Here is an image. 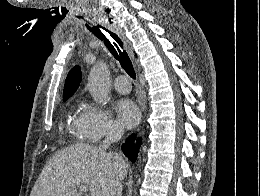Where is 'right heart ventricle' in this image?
Here are the masks:
<instances>
[{
	"instance_id": "e07e8e85",
	"label": "right heart ventricle",
	"mask_w": 260,
	"mask_h": 196,
	"mask_svg": "<svg viewBox=\"0 0 260 196\" xmlns=\"http://www.w3.org/2000/svg\"><path fill=\"white\" fill-rule=\"evenodd\" d=\"M50 192H74V190H50Z\"/></svg>"
}]
</instances>
